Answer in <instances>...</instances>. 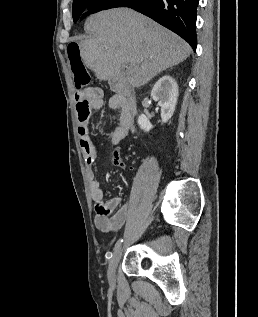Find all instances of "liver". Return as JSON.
Masks as SVG:
<instances>
[{
  "label": "liver",
  "mask_w": 258,
  "mask_h": 317,
  "mask_svg": "<svg viewBox=\"0 0 258 317\" xmlns=\"http://www.w3.org/2000/svg\"><path fill=\"white\" fill-rule=\"evenodd\" d=\"M84 30L91 36L80 40V56L97 78L117 86V80L142 86L158 72L179 64L191 52L183 38L132 8H110L90 14ZM132 64L128 76L122 64Z\"/></svg>",
  "instance_id": "1"
}]
</instances>
